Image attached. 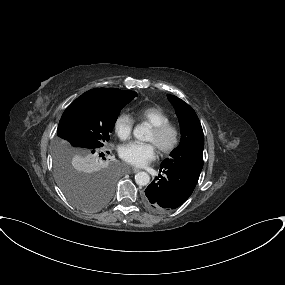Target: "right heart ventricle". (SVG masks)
Here are the masks:
<instances>
[{"label": "right heart ventricle", "mask_w": 285, "mask_h": 285, "mask_svg": "<svg viewBox=\"0 0 285 285\" xmlns=\"http://www.w3.org/2000/svg\"><path fill=\"white\" fill-rule=\"evenodd\" d=\"M138 120L148 122L152 127L170 122V116L158 106H146L134 112Z\"/></svg>", "instance_id": "obj_1"}]
</instances>
